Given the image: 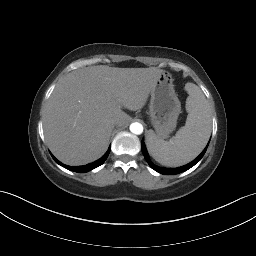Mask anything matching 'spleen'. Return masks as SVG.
I'll return each mask as SVG.
<instances>
[{"label":"spleen","instance_id":"spleen-1","mask_svg":"<svg viewBox=\"0 0 256 256\" xmlns=\"http://www.w3.org/2000/svg\"><path fill=\"white\" fill-rule=\"evenodd\" d=\"M185 89L189 94L185 126L170 141L159 139L153 132L147 137L151 156L167 167H177L192 161L203 150L211 133L210 107L203 92L193 83H187Z\"/></svg>","mask_w":256,"mask_h":256}]
</instances>
